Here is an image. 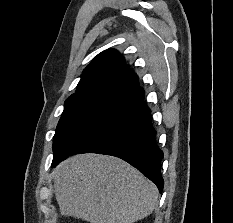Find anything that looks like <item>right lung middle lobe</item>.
I'll return each instance as SVG.
<instances>
[{"label":"right lung middle lobe","instance_id":"obj_1","mask_svg":"<svg viewBox=\"0 0 233 223\" xmlns=\"http://www.w3.org/2000/svg\"><path fill=\"white\" fill-rule=\"evenodd\" d=\"M122 93L70 96L54 136V154H75L106 129L124 110Z\"/></svg>","mask_w":233,"mask_h":223}]
</instances>
